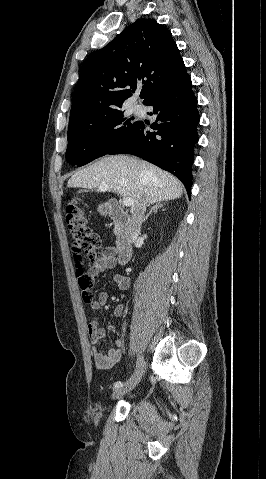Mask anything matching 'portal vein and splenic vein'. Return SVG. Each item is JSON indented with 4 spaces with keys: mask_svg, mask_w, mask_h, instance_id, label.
I'll list each match as a JSON object with an SVG mask.
<instances>
[{
    "mask_svg": "<svg viewBox=\"0 0 266 479\" xmlns=\"http://www.w3.org/2000/svg\"><path fill=\"white\" fill-rule=\"evenodd\" d=\"M98 190L101 191V192L108 191L109 186L108 185H101V186L98 187ZM133 203H134V200L131 197H126V198L123 199V205L126 206V207L132 206Z\"/></svg>",
    "mask_w": 266,
    "mask_h": 479,
    "instance_id": "1",
    "label": "portal vein and splenic vein"
}]
</instances>
